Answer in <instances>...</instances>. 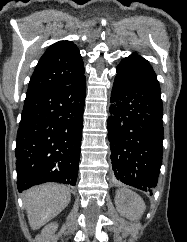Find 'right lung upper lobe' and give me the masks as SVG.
Masks as SVG:
<instances>
[{
	"mask_svg": "<svg viewBox=\"0 0 187 242\" xmlns=\"http://www.w3.org/2000/svg\"><path fill=\"white\" fill-rule=\"evenodd\" d=\"M84 75L79 49L71 41L52 44L40 58L26 95L68 85Z\"/></svg>",
	"mask_w": 187,
	"mask_h": 242,
	"instance_id": "obj_1",
	"label": "right lung upper lobe"
}]
</instances>
